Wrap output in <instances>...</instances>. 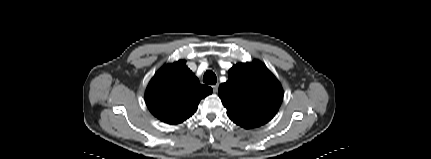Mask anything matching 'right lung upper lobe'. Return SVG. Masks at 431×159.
<instances>
[{
    "instance_id": "obj_1",
    "label": "right lung upper lobe",
    "mask_w": 431,
    "mask_h": 159,
    "mask_svg": "<svg viewBox=\"0 0 431 159\" xmlns=\"http://www.w3.org/2000/svg\"><path fill=\"white\" fill-rule=\"evenodd\" d=\"M212 93L180 60L162 67L150 81L145 101L150 112L168 124H178L194 114L200 100Z\"/></svg>"
}]
</instances>
